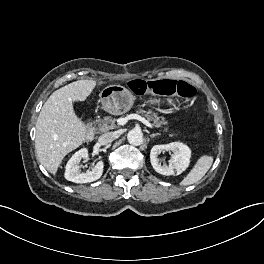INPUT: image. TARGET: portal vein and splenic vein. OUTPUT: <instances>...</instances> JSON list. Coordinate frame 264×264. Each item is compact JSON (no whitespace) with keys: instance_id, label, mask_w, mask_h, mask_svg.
<instances>
[{"instance_id":"portal-vein-and-splenic-vein-1","label":"portal vein and splenic vein","mask_w":264,"mask_h":264,"mask_svg":"<svg viewBox=\"0 0 264 264\" xmlns=\"http://www.w3.org/2000/svg\"><path fill=\"white\" fill-rule=\"evenodd\" d=\"M128 120H138V121H141L146 126L153 128V125L148 120H146L145 118H143L142 116L138 114H130L127 117L120 118L118 120V123L120 125H125L128 122Z\"/></svg>"}]
</instances>
